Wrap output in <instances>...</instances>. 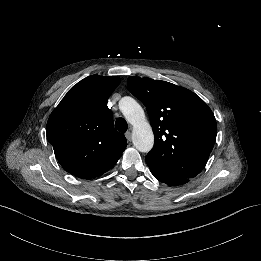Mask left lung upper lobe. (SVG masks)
I'll return each mask as SVG.
<instances>
[{"label":"left lung upper lobe","mask_w":261,"mask_h":261,"mask_svg":"<svg viewBox=\"0 0 261 261\" xmlns=\"http://www.w3.org/2000/svg\"><path fill=\"white\" fill-rule=\"evenodd\" d=\"M129 91L146 106L155 143L146 162L195 177L213 149L217 125L206 103L192 91L150 78L129 77Z\"/></svg>","instance_id":"obj_1"}]
</instances>
